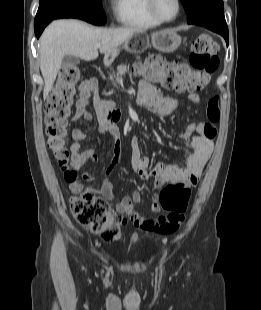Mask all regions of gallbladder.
Masks as SVG:
<instances>
[{"label":"gallbladder","instance_id":"1","mask_svg":"<svg viewBox=\"0 0 261 310\" xmlns=\"http://www.w3.org/2000/svg\"><path fill=\"white\" fill-rule=\"evenodd\" d=\"M62 63L66 67L76 66L79 64V58L73 55H66Z\"/></svg>","mask_w":261,"mask_h":310}]
</instances>
